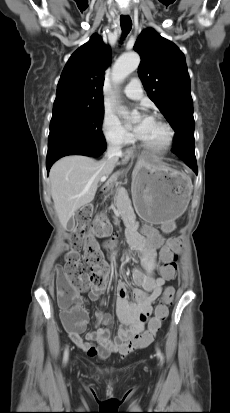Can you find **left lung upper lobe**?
<instances>
[{
	"label": "left lung upper lobe",
	"instance_id": "1",
	"mask_svg": "<svg viewBox=\"0 0 230 413\" xmlns=\"http://www.w3.org/2000/svg\"><path fill=\"white\" fill-rule=\"evenodd\" d=\"M134 50L141 56L139 77L149 98L175 130L172 152L195 158L193 101L185 56L154 29L141 32Z\"/></svg>",
	"mask_w": 230,
	"mask_h": 413
}]
</instances>
